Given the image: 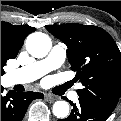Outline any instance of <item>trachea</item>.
I'll list each match as a JSON object with an SVG mask.
<instances>
[{
    "label": "trachea",
    "mask_w": 121,
    "mask_h": 121,
    "mask_svg": "<svg viewBox=\"0 0 121 121\" xmlns=\"http://www.w3.org/2000/svg\"><path fill=\"white\" fill-rule=\"evenodd\" d=\"M68 87H69V84H65V85H64V88H63L64 91H65Z\"/></svg>",
    "instance_id": "1"
}]
</instances>
